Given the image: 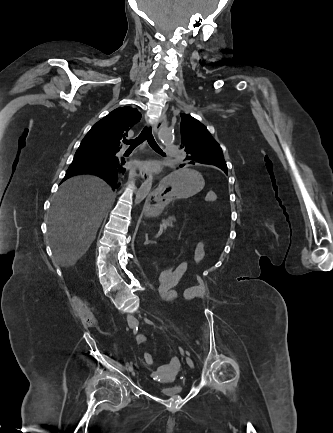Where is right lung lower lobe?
<instances>
[{
    "label": "right lung lower lobe",
    "mask_w": 333,
    "mask_h": 433,
    "mask_svg": "<svg viewBox=\"0 0 333 433\" xmlns=\"http://www.w3.org/2000/svg\"><path fill=\"white\" fill-rule=\"evenodd\" d=\"M81 145L91 146L86 140L82 141ZM124 164L125 160L117 157L95 158L75 155L63 181L78 174H94L104 179L115 189L119 187V184L116 185L118 176L125 172Z\"/></svg>",
    "instance_id": "98d812e1"
}]
</instances>
